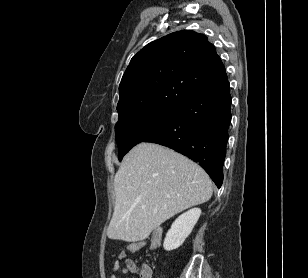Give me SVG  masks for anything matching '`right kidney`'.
Returning a JSON list of instances; mask_svg holds the SVG:
<instances>
[{"instance_id":"ca27d5eb","label":"right kidney","mask_w":308,"mask_h":278,"mask_svg":"<svg viewBox=\"0 0 308 278\" xmlns=\"http://www.w3.org/2000/svg\"><path fill=\"white\" fill-rule=\"evenodd\" d=\"M201 215V209L194 208L180 215L166 234L163 247L166 251L179 248L192 232Z\"/></svg>"}]
</instances>
